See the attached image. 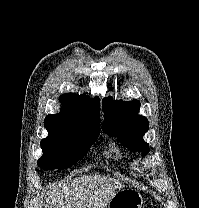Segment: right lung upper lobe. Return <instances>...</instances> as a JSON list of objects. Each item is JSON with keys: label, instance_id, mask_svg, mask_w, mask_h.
I'll return each instance as SVG.
<instances>
[{"label": "right lung upper lobe", "instance_id": "obj_1", "mask_svg": "<svg viewBox=\"0 0 199 208\" xmlns=\"http://www.w3.org/2000/svg\"><path fill=\"white\" fill-rule=\"evenodd\" d=\"M62 108L59 114H49L44 125L47 129L66 130H99V100H89L87 95L64 94L60 96Z\"/></svg>", "mask_w": 199, "mask_h": 208}]
</instances>
